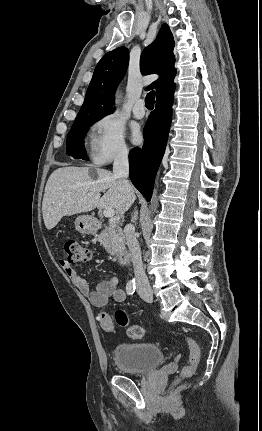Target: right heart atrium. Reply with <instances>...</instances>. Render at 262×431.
<instances>
[{"instance_id":"obj_1","label":"right heart atrium","mask_w":262,"mask_h":431,"mask_svg":"<svg viewBox=\"0 0 262 431\" xmlns=\"http://www.w3.org/2000/svg\"><path fill=\"white\" fill-rule=\"evenodd\" d=\"M128 152L125 129L116 115L106 114L94 122L90 134V157L95 163L104 164L126 157Z\"/></svg>"}]
</instances>
